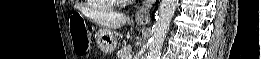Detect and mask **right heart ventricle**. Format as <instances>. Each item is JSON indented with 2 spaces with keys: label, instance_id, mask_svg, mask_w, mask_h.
Here are the masks:
<instances>
[{
  "label": "right heart ventricle",
  "instance_id": "obj_1",
  "mask_svg": "<svg viewBox=\"0 0 261 59\" xmlns=\"http://www.w3.org/2000/svg\"><path fill=\"white\" fill-rule=\"evenodd\" d=\"M99 4L103 5V6H107V7H112L113 4L111 1L109 0H101V1H97Z\"/></svg>",
  "mask_w": 261,
  "mask_h": 59
}]
</instances>
